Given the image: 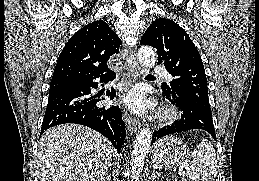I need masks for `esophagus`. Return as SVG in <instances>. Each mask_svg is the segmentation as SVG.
<instances>
[{
    "instance_id": "obj_1",
    "label": "esophagus",
    "mask_w": 259,
    "mask_h": 181,
    "mask_svg": "<svg viewBox=\"0 0 259 181\" xmlns=\"http://www.w3.org/2000/svg\"><path fill=\"white\" fill-rule=\"evenodd\" d=\"M125 52L129 54L127 62V76L129 79L128 83L132 84L138 79L141 73L140 66L136 60L135 54L130 49L128 50L125 48ZM123 117L125 124L131 133H136L139 131L141 125L137 119L131 117L129 114H127V112L124 113Z\"/></svg>"
}]
</instances>
